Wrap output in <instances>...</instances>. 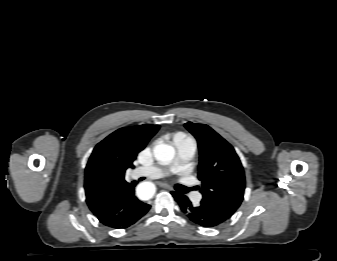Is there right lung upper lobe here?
<instances>
[{
  "label": "right lung upper lobe",
  "instance_id": "right-lung-upper-lobe-1",
  "mask_svg": "<svg viewBox=\"0 0 337 261\" xmlns=\"http://www.w3.org/2000/svg\"><path fill=\"white\" fill-rule=\"evenodd\" d=\"M159 125L120 128L96 145L85 169L86 202L98 215L124 187L125 171L159 130Z\"/></svg>",
  "mask_w": 337,
  "mask_h": 261
}]
</instances>
